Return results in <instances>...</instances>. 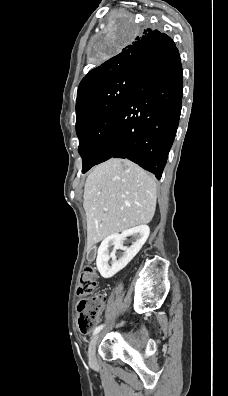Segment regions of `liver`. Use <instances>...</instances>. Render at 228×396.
I'll list each match as a JSON object with an SVG mask.
<instances>
[{"instance_id":"6515ba94","label":"liver","mask_w":228,"mask_h":396,"mask_svg":"<svg viewBox=\"0 0 228 396\" xmlns=\"http://www.w3.org/2000/svg\"><path fill=\"white\" fill-rule=\"evenodd\" d=\"M83 199L87 243L92 247L109 235L152 220L156 182L130 160L112 158L88 175Z\"/></svg>"}]
</instances>
